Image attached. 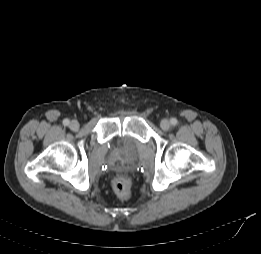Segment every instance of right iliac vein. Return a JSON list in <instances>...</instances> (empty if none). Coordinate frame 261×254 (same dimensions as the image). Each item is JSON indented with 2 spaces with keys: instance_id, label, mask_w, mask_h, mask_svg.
I'll return each mask as SVG.
<instances>
[{
  "instance_id": "63e3f726",
  "label": "right iliac vein",
  "mask_w": 261,
  "mask_h": 254,
  "mask_svg": "<svg viewBox=\"0 0 261 254\" xmlns=\"http://www.w3.org/2000/svg\"><path fill=\"white\" fill-rule=\"evenodd\" d=\"M70 128L72 130H77L79 128V122L77 120H72L70 122Z\"/></svg>"
}]
</instances>
